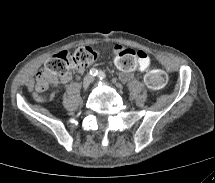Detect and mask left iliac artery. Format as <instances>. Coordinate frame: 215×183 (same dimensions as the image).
I'll return each mask as SVG.
<instances>
[{
  "label": "left iliac artery",
  "instance_id": "44dca946",
  "mask_svg": "<svg viewBox=\"0 0 215 183\" xmlns=\"http://www.w3.org/2000/svg\"><path fill=\"white\" fill-rule=\"evenodd\" d=\"M98 77H99L100 79H104V78L106 77V74H105L103 71H99V72H98Z\"/></svg>",
  "mask_w": 215,
  "mask_h": 183
}]
</instances>
